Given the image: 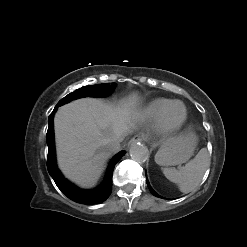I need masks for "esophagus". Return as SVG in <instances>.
<instances>
[{"instance_id":"34e87169","label":"esophagus","mask_w":247,"mask_h":247,"mask_svg":"<svg viewBox=\"0 0 247 247\" xmlns=\"http://www.w3.org/2000/svg\"><path fill=\"white\" fill-rule=\"evenodd\" d=\"M146 140H147V138L145 136L136 135L129 141L128 146H131V145L139 143V142H144Z\"/></svg>"}]
</instances>
